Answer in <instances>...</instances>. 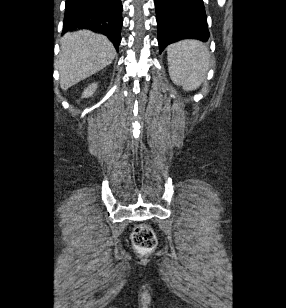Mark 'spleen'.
Masks as SVG:
<instances>
[{
	"instance_id": "obj_1",
	"label": "spleen",
	"mask_w": 286,
	"mask_h": 308,
	"mask_svg": "<svg viewBox=\"0 0 286 308\" xmlns=\"http://www.w3.org/2000/svg\"><path fill=\"white\" fill-rule=\"evenodd\" d=\"M167 59L172 81L186 91L197 89L210 68L209 50L196 40H182L169 45Z\"/></svg>"
}]
</instances>
